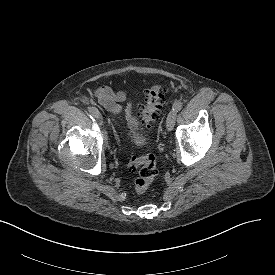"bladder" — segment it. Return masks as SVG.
I'll return each instance as SVG.
<instances>
[{
  "label": "bladder",
  "mask_w": 275,
  "mask_h": 275,
  "mask_svg": "<svg viewBox=\"0 0 275 275\" xmlns=\"http://www.w3.org/2000/svg\"><path fill=\"white\" fill-rule=\"evenodd\" d=\"M122 112H123V115L125 116V118L127 120H132V118H133V106H132V103L131 102H126L123 105Z\"/></svg>",
  "instance_id": "bladder-1"
}]
</instances>
